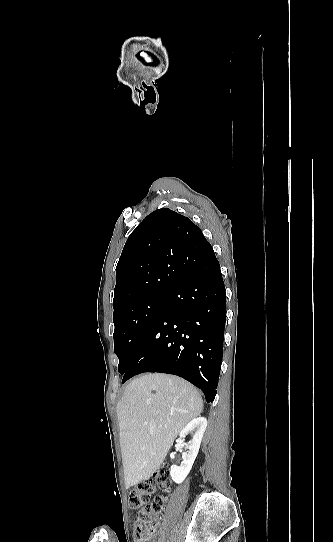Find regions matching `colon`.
<instances>
[{
	"label": "colon",
	"mask_w": 333,
	"mask_h": 542,
	"mask_svg": "<svg viewBox=\"0 0 333 542\" xmlns=\"http://www.w3.org/2000/svg\"><path fill=\"white\" fill-rule=\"evenodd\" d=\"M170 483V471L166 464L156 469L153 477L142 480L136 489L130 492L128 501L132 510V524L129 537L131 540H141L151 537L157 529L156 513L162 508V499L149 504V499L157 489H167Z\"/></svg>",
	"instance_id": "obj_1"
}]
</instances>
